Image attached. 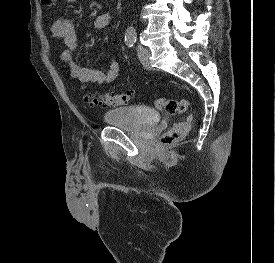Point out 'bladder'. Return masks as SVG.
Masks as SVG:
<instances>
[{
	"mask_svg": "<svg viewBox=\"0 0 275 263\" xmlns=\"http://www.w3.org/2000/svg\"><path fill=\"white\" fill-rule=\"evenodd\" d=\"M159 113L147 106H124L104 113L103 121L114 127L142 129L158 123Z\"/></svg>",
	"mask_w": 275,
	"mask_h": 263,
	"instance_id": "1",
	"label": "bladder"
}]
</instances>
